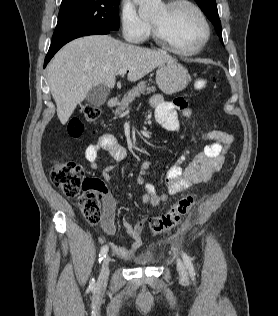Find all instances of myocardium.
Masks as SVG:
<instances>
[{
    "label": "myocardium",
    "instance_id": "myocardium-1",
    "mask_svg": "<svg viewBox=\"0 0 278 316\" xmlns=\"http://www.w3.org/2000/svg\"><path fill=\"white\" fill-rule=\"evenodd\" d=\"M188 6L191 9L195 11V13L198 15L199 19L201 20L203 27H204V37L201 43L193 48V49H183L176 45L167 35L166 33L159 27L157 24L154 22H151V32L153 39L155 42H157L159 45L164 46L168 48L169 50L180 54L184 56H193L198 53H200L208 44L210 37H211V27L209 24V21L201 9L199 5H197L194 1L192 0H169L164 4V7L168 10L171 11L179 6Z\"/></svg>",
    "mask_w": 278,
    "mask_h": 316
}]
</instances>
